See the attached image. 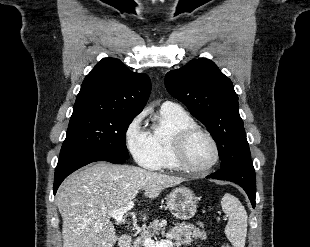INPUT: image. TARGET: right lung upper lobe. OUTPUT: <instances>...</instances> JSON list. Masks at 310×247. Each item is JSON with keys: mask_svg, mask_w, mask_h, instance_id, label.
<instances>
[{"mask_svg": "<svg viewBox=\"0 0 310 247\" xmlns=\"http://www.w3.org/2000/svg\"><path fill=\"white\" fill-rule=\"evenodd\" d=\"M151 91L149 77L130 71L120 60L102 59L85 77L73 111H111L138 115Z\"/></svg>", "mask_w": 310, "mask_h": 247, "instance_id": "cb5924a9", "label": "right lung upper lobe"}]
</instances>
